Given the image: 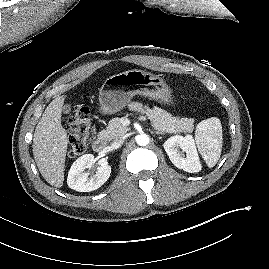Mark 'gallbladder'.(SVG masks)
Segmentation results:
<instances>
[{"mask_svg": "<svg viewBox=\"0 0 269 269\" xmlns=\"http://www.w3.org/2000/svg\"><path fill=\"white\" fill-rule=\"evenodd\" d=\"M71 112V106L70 105H65L63 107V113L64 114H69Z\"/></svg>", "mask_w": 269, "mask_h": 269, "instance_id": "obj_1", "label": "gallbladder"}]
</instances>
